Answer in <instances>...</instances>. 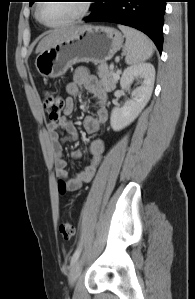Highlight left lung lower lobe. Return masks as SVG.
I'll use <instances>...</instances> for the list:
<instances>
[{
    "label": "left lung lower lobe",
    "mask_w": 195,
    "mask_h": 299,
    "mask_svg": "<svg viewBox=\"0 0 195 299\" xmlns=\"http://www.w3.org/2000/svg\"><path fill=\"white\" fill-rule=\"evenodd\" d=\"M85 22L105 21L136 28L148 35L162 52L166 0H94Z\"/></svg>",
    "instance_id": "left-lung-lower-lobe-1"
}]
</instances>
